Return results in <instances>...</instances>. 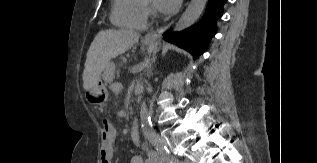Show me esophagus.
I'll return each instance as SVG.
<instances>
[{"label": "esophagus", "instance_id": "34e87169", "mask_svg": "<svg viewBox=\"0 0 317 163\" xmlns=\"http://www.w3.org/2000/svg\"><path fill=\"white\" fill-rule=\"evenodd\" d=\"M171 23L162 27V28H159L157 30H154L152 32H149L147 33L145 36H144V41H147V42H153V41H156L157 39H159L162 34L170 27Z\"/></svg>", "mask_w": 317, "mask_h": 163}]
</instances>
